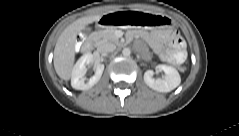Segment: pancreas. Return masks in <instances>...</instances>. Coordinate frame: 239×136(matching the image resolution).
I'll list each match as a JSON object with an SVG mask.
<instances>
[{
  "mask_svg": "<svg viewBox=\"0 0 239 136\" xmlns=\"http://www.w3.org/2000/svg\"><path fill=\"white\" fill-rule=\"evenodd\" d=\"M115 32H116V28L110 27L105 30L97 31L95 32L94 35L100 43L107 42V41L119 43V38L116 36Z\"/></svg>",
  "mask_w": 239,
  "mask_h": 136,
  "instance_id": "obj_1",
  "label": "pancreas"
}]
</instances>
